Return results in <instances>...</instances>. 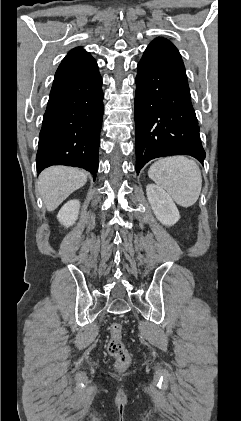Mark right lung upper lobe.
I'll use <instances>...</instances> for the list:
<instances>
[{
	"mask_svg": "<svg viewBox=\"0 0 241 421\" xmlns=\"http://www.w3.org/2000/svg\"><path fill=\"white\" fill-rule=\"evenodd\" d=\"M90 56L91 55L88 52H86L84 49H82L81 47L74 48L62 60L61 64L59 65V68L63 67L64 65H66V64H68V63H70L74 60L86 58V57H90Z\"/></svg>",
	"mask_w": 241,
	"mask_h": 421,
	"instance_id": "right-lung-upper-lobe-1",
	"label": "right lung upper lobe"
}]
</instances>
